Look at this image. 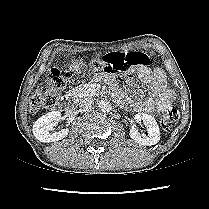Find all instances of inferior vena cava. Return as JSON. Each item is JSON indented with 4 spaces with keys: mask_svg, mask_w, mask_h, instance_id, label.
I'll return each instance as SVG.
<instances>
[{
    "mask_svg": "<svg viewBox=\"0 0 209 209\" xmlns=\"http://www.w3.org/2000/svg\"><path fill=\"white\" fill-rule=\"evenodd\" d=\"M94 105V100L91 97H84L80 100L79 106L83 110H90Z\"/></svg>",
    "mask_w": 209,
    "mask_h": 209,
    "instance_id": "1",
    "label": "inferior vena cava"
}]
</instances>
